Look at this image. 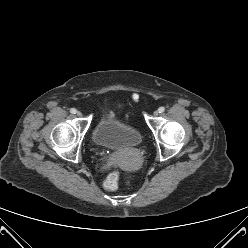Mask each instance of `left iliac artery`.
<instances>
[{
	"mask_svg": "<svg viewBox=\"0 0 248 248\" xmlns=\"http://www.w3.org/2000/svg\"><path fill=\"white\" fill-rule=\"evenodd\" d=\"M158 111H159V113H163V112L165 111V107H160V108L158 109Z\"/></svg>",
	"mask_w": 248,
	"mask_h": 248,
	"instance_id": "1",
	"label": "left iliac artery"
}]
</instances>
